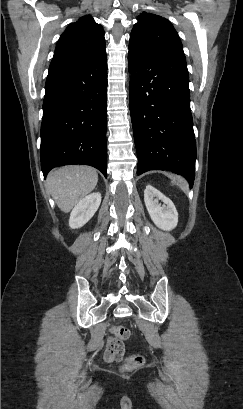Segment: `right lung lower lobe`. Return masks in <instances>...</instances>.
I'll return each instance as SVG.
<instances>
[{"mask_svg": "<svg viewBox=\"0 0 243 409\" xmlns=\"http://www.w3.org/2000/svg\"><path fill=\"white\" fill-rule=\"evenodd\" d=\"M107 57L49 71L41 124V169L90 165L107 177Z\"/></svg>", "mask_w": 243, "mask_h": 409, "instance_id": "1", "label": "right lung lower lobe"}]
</instances>
